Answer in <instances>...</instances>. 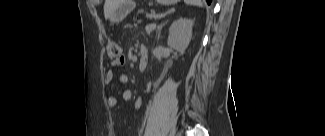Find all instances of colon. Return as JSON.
<instances>
[{
  "mask_svg": "<svg viewBox=\"0 0 325 136\" xmlns=\"http://www.w3.org/2000/svg\"><path fill=\"white\" fill-rule=\"evenodd\" d=\"M107 53L110 59L115 61L123 60V49L120 44L111 42L107 47Z\"/></svg>",
  "mask_w": 325,
  "mask_h": 136,
  "instance_id": "1",
  "label": "colon"
}]
</instances>
